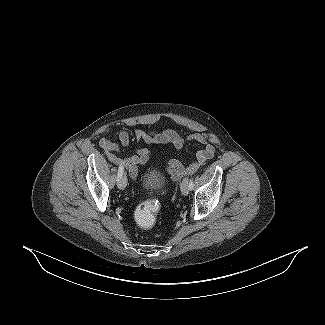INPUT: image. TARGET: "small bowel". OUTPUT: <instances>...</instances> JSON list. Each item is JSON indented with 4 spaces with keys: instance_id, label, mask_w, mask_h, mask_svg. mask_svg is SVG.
Instances as JSON below:
<instances>
[{
    "instance_id": "c3829d8e",
    "label": "small bowel",
    "mask_w": 325,
    "mask_h": 325,
    "mask_svg": "<svg viewBox=\"0 0 325 325\" xmlns=\"http://www.w3.org/2000/svg\"><path fill=\"white\" fill-rule=\"evenodd\" d=\"M118 138L119 144L113 142L107 137H103L101 138L99 145L110 161L124 166L128 170L130 177L133 180H136L138 177V166H146L151 160L152 154L146 148H139L135 155L126 159H120L115 155L119 151V145L124 147L128 146L131 138L130 134L126 130L120 131ZM135 139L138 142L162 143L168 146H174L178 149H181L186 142H197L202 144L204 146L203 149L198 151L196 160L189 166L185 167L177 160H170L167 163L168 171L176 178L194 172L214 154L213 146L210 144L207 136L203 134H191L186 138H183L174 130H165L162 132H145L143 130H137L135 132Z\"/></svg>"
}]
</instances>
